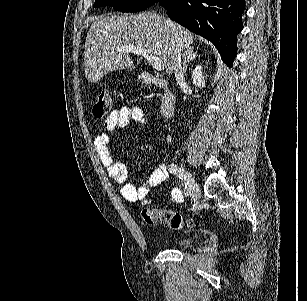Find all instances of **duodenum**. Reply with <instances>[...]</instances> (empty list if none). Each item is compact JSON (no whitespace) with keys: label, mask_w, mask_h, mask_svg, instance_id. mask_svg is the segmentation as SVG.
I'll list each match as a JSON object with an SVG mask.
<instances>
[{"label":"duodenum","mask_w":307,"mask_h":301,"mask_svg":"<svg viewBox=\"0 0 307 301\" xmlns=\"http://www.w3.org/2000/svg\"><path fill=\"white\" fill-rule=\"evenodd\" d=\"M143 79L146 83L153 84L161 88V115L165 118H171L175 111V95L168 87L167 82L162 79H156L149 74H145Z\"/></svg>","instance_id":"duodenum-1"}]
</instances>
